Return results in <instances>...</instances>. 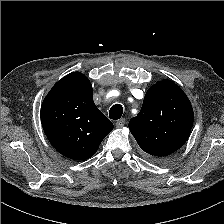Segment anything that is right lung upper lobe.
I'll use <instances>...</instances> for the list:
<instances>
[{
    "instance_id": "right-lung-upper-lobe-1",
    "label": "right lung upper lobe",
    "mask_w": 224,
    "mask_h": 224,
    "mask_svg": "<svg viewBox=\"0 0 224 224\" xmlns=\"http://www.w3.org/2000/svg\"><path fill=\"white\" fill-rule=\"evenodd\" d=\"M92 96L89 79L72 72L52 87L42 103L43 130L52 146L67 158H90L113 129Z\"/></svg>"
}]
</instances>
